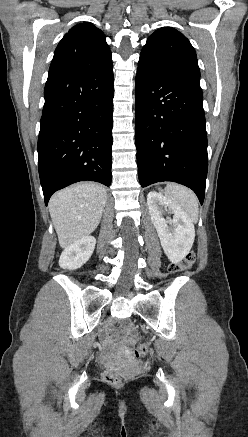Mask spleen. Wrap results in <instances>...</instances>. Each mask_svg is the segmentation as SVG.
<instances>
[{
    "mask_svg": "<svg viewBox=\"0 0 248 437\" xmlns=\"http://www.w3.org/2000/svg\"><path fill=\"white\" fill-rule=\"evenodd\" d=\"M165 195L184 210L193 222H197L198 199L192 190L179 184L169 183L165 188Z\"/></svg>",
    "mask_w": 248,
    "mask_h": 437,
    "instance_id": "spleen-1",
    "label": "spleen"
}]
</instances>
